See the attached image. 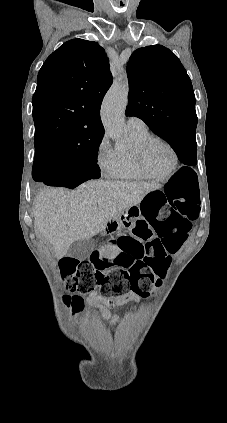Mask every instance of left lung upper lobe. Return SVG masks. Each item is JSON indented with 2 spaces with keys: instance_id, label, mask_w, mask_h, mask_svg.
Returning a JSON list of instances; mask_svg holds the SVG:
<instances>
[{
  "instance_id": "left-lung-upper-lobe-1",
  "label": "left lung upper lobe",
  "mask_w": 227,
  "mask_h": 423,
  "mask_svg": "<svg viewBox=\"0 0 227 423\" xmlns=\"http://www.w3.org/2000/svg\"><path fill=\"white\" fill-rule=\"evenodd\" d=\"M129 105L126 115L142 119L169 144L195 137L197 116L191 80L168 48H139L127 64Z\"/></svg>"
}]
</instances>
